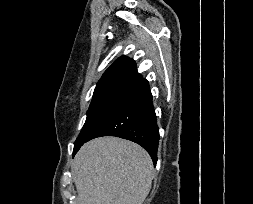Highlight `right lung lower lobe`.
<instances>
[{"instance_id": "98d812e1", "label": "right lung lower lobe", "mask_w": 253, "mask_h": 204, "mask_svg": "<svg viewBox=\"0 0 253 204\" xmlns=\"http://www.w3.org/2000/svg\"><path fill=\"white\" fill-rule=\"evenodd\" d=\"M101 136H116L141 145L156 164L159 128L147 80L139 83L136 90L104 120L89 140Z\"/></svg>"}]
</instances>
